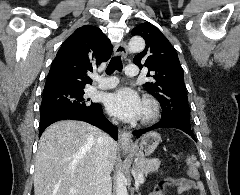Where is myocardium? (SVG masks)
Listing matches in <instances>:
<instances>
[{
  "label": "myocardium",
  "mask_w": 240,
  "mask_h": 195,
  "mask_svg": "<svg viewBox=\"0 0 240 195\" xmlns=\"http://www.w3.org/2000/svg\"><path fill=\"white\" fill-rule=\"evenodd\" d=\"M143 112L140 116L138 126H146L155 122L160 114L158 101L152 96L146 95L142 100Z\"/></svg>",
  "instance_id": "obj_1"
}]
</instances>
